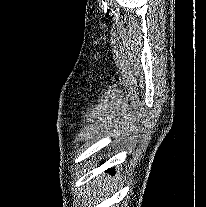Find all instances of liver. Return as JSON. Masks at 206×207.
<instances>
[{"label": "liver", "instance_id": "6515ba94", "mask_svg": "<svg viewBox=\"0 0 206 207\" xmlns=\"http://www.w3.org/2000/svg\"><path fill=\"white\" fill-rule=\"evenodd\" d=\"M96 184L98 188L96 190L92 191L93 194H107L108 196L112 193L114 184L111 182L110 178L103 175H99L96 177Z\"/></svg>", "mask_w": 206, "mask_h": 207}]
</instances>
